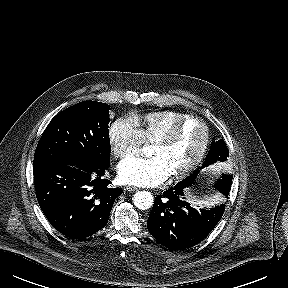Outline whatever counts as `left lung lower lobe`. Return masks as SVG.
<instances>
[{"label": "left lung lower lobe", "instance_id": "obj_1", "mask_svg": "<svg viewBox=\"0 0 288 288\" xmlns=\"http://www.w3.org/2000/svg\"><path fill=\"white\" fill-rule=\"evenodd\" d=\"M188 186L179 182L163 195H158L147 221L150 234L170 250H183L201 242L224 213V204L210 210L191 207L183 192ZM221 193L226 197L229 195Z\"/></svg>", "mask_w": 288, "mask_h": 288}]
</instances>
